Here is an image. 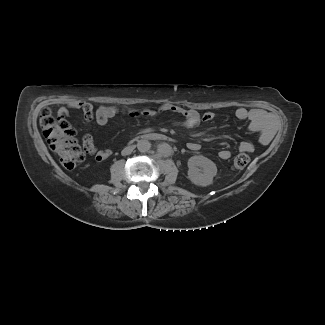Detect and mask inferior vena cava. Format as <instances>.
Wrapping results in <instances>:
<instances>
[{
    "instance_id": "inferior-vena-cava-1",
    "label": "inferior vena cava",
    "mask_w": 325,
    "mask_h": 325,
    "mask_svg": "<svg viewBox=\"0 0 325 325\" xmlns=\"http://www.w3.org/2000/svg\"><path fill=\"white\" fill-rule=\"evenodd\" d=\"M133 149H134L133 146H127L122 150L121 154L123 156L129 155L132 153Z\"/></svg>"
}]
</instances>
